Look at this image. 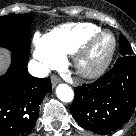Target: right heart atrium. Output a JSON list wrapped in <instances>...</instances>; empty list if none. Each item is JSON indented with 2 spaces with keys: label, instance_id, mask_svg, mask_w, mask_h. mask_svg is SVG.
I'll return each mask as SVG.
<instances>
[{
  "label": "right heart atrium",
  "instance_id": "d8ad5b80",
  "mask_svg": "<svg viewBox=\"0 0 136 136\" xmlns=\"http://www.w3.org/2000/svg\"><path fill=\"white\" fill-rule=\"evenodd\" d=\"M34 45V56L42 67L47 69L55 67L61 63L62 56L45 44L43 36L36 34L34 36Z\"/></svg>",
  "mask_w": 136,
  "mask_h": 136
}]
</instances>
